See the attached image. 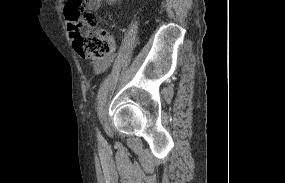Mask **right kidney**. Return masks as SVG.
<instances>
[{"label":"right kidney","instance_id":"right-kidney-1","mask_svg":"<svg viewBox=\"0 0 285 183\" xmlns=\"http://www.w3.org/2000/svg\"><path fill=\"white\" fill-rule=\"evenodd\" d=\"M107 1H109V2H111V3H114V2H116L117 0H107Z\"/></svg>","mask_w":285,"mask_h":183}]
</instances>
